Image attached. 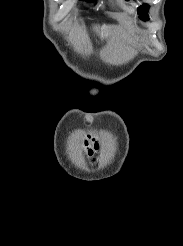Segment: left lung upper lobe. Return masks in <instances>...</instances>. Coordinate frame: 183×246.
<instances>
[{
  "instance_id": "1",
  "label": "left lung upper lobe",
  "mask_w": 183,
  "mask_h": 246,
  "mask_svg": "<svg viewBox=\"0 0 183 246\" xmlns=\"http://www.w3.org/2000/svg\"><path fill=\"white\" fill-rule=\"evenodd\" d=\"M148 6L146 4L142 5L138 8V14L140 15V19L147 21L148 15H147Z\"/></svg>"
}]
</instances>
